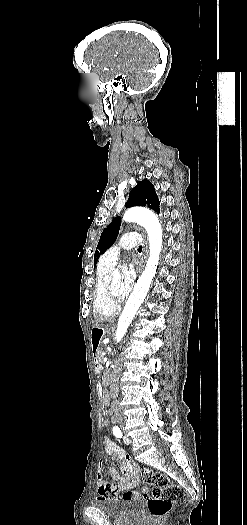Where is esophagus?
<instances>
[{"label":"esophagus","mask_w":247,"mask_h":525,"mask_svg":"<svg viewBox=\"0 0 247 525\" xmlns=\"http://www.w3.org/2000/svg\"><path fill=\"white\" fill-rule=\"evenodd\" d=\"M144 251H145V261H146V259H147V257H148V246L145 247V250H144ZM146 267H147V264H146L145 262H142V263L140 264V270H139V273H143V269H145Z\"/></svg>","instance_id":"esophagus-1"}]
</instances>
